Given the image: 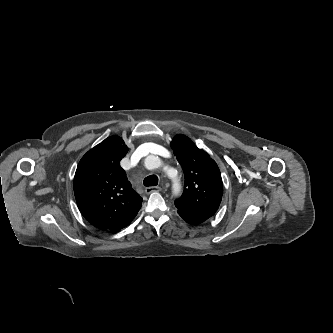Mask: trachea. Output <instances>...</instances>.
I'll list each match as a JSON object with an SVG mask.
<instances>
[{"label":"trachea","instance_id":"obj_1","mask_svg":"<svg viewBox=\"0 0 333 333\" xmlns=\"http://www.w3.org/2000/svg\"><path fill=\"white\" fill-rule=\"evenodd\" d=\"M143 183L146 187L156 186L158 184V177L156 175H150L144 179Z\"/></svg>","mask_w":333,"mask_h":333}]
</instances>
